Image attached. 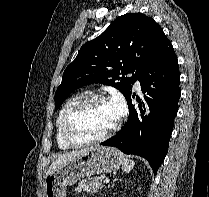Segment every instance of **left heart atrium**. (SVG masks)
Instances as JSON below:
<instances>
[{
    "label": "left heart atrium",
    "mask_w": 209,
    "mask_h": 197,
    "mask_svg": "<svg viewBox=\"0 0 209 197\" xmlns=\"http://www.w3.org/2000/svg\"><path fill=\"white\" fill-rule=\"evenodd\" d=\"M108 106L115 118V120H118L124 113V105H123V101L120 97L116 96L114 98H112L109 102H108Z\"/></svg>",
    "instance_id": "obj_1"
}]
</instances>
